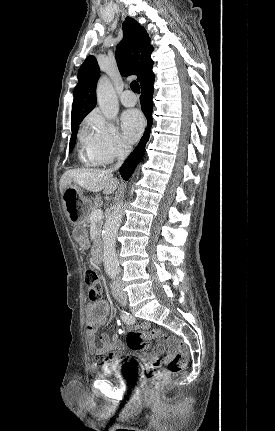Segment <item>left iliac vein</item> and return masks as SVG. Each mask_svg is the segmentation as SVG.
I'll return each mask as SVG.
<instances>
[{"label":"left iliac vein","mask_w":275,"mask_h":431,"mask_svg":"<svg viewBox=\"0 0 275 431\" xmlns=\"http://www.w3.org/2000/svg\"><path fill=\"white\" fill-rule=\"evenodd\" d=\"M123 298H124L123 303H126V296L124 295Z\"/></svg>","instance_id":"left-iliac-vein-1"}]
</instances>
